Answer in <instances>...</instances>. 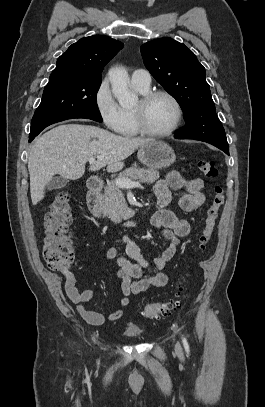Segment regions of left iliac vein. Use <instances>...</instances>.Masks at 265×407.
<instances>
[{
	"label": "left iliac vein",
	"mask_w": 265,
	"mask_h": 407,
	"mask_svg": "<svg viewBox=\"0 0 265 407\" xmlns=\"http://www.w3.org/2000/svg\"><path fill=\"white\" fill-rule=\"evenodd\" d=\"M175 351H176V353H177L178 356H181V355H182V349H181V346L179 345V343H176V345H175Z\"/></svg>",
	"instance_id": "1"
}]
</instances>
